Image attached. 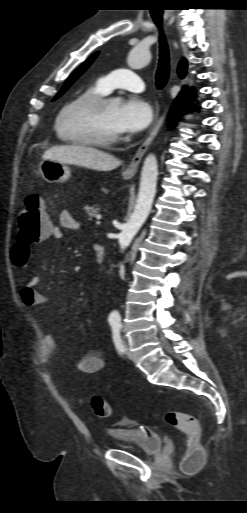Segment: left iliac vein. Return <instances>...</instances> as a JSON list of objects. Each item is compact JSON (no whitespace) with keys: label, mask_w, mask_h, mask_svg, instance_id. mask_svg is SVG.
Here are the masks:
<instances>
[{"label":"left iliac vein","mask_w":247,"mask_h":513,"mask_svg":"<svg viewBox=\"0 0 247 513\" xmlns=\"http://www.w3.org/2000/svg\"><path fill=\"white\" fill-rule=\"evenodd\" d=\"M123 343H124V347H125V350H126V353H127L128 357H129L131 360H133L132 353L130 352L129 347H128L127 342H126V340H125V339H123Z\"/></svg>","instance_id":"4c4485c4"}]
</instances>
